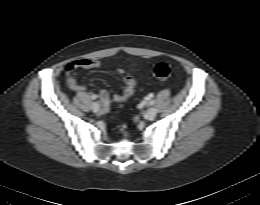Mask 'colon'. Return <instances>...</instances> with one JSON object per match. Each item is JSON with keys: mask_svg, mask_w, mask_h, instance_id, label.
Segmentation results:
<instances>
[{"mask_svg": "<svg viewBox=\"0 0 260 205\" xmlns=\"http://www.w3.org/2000/svg\"><path fill=\"white\" fill-rule=\"evenodd\" d=\"M171 68L166 63H158L154 66L152 74L155 78L166 81L171 77Z\"/></svg>", "mask_w": 260, "mask_h": 205, "instance_id": "colon-1", "label": "colon"}]
</instances>
